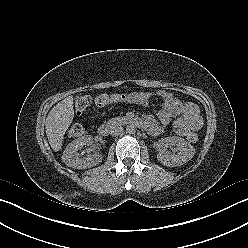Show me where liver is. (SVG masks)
Instances as JSON below:
<instances>
[{
	"label": "liver",
	"instance_id": "6515ba94",
	"mask_svg": "<svg viewBox=\"0 0 248 248\" xmlns=\"http://www.w3.org/2000/svg\"><path fill=\"white\" fill-rule=\"evenodd\" d=\"M74 118L73 97L69 96L56 104L49 112L46 121V135L51 148L61 149L64 135Z\"/></svg>",
	"mask_w": 248,
	"mask_h": 248
}]
</instances>
